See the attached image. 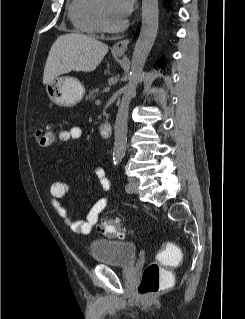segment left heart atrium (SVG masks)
Returning <instances> with one entry per match:
<instances>
[{"mask_svg": "<svg viewBox=\"0 0 245 319\" xmlns=\"http://www.w3.org/2000/svg\"><path fill=\"white\" fill-rule=\"evenodd\" d=\"M135 0H113V10L116 17L125 20L133 11Z\"/></svg>", "mask_w": 245, "mask_h": 319, "instance_id": "obj_1", "label": "left heart atrium"}]
</instances>
